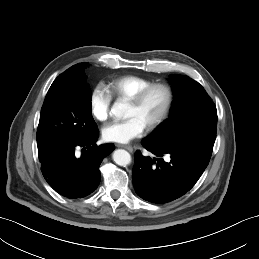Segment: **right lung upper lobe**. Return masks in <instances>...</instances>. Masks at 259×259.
<instances>
[{"label": "right lung upper lobe", "instance_id": "cb5924a9", "mask_svg": "<svg viewBox=\"0 0 259 259\" xmlns=\"http://www.w3.org/2000/svg\"><path fill=\"white\" fill-rule=\"evenodd\" d=\"M79 64H76L70 67L65 72L60 74L52 83L51 87L48 90L47 95L55 93L60 89H62L63 87H67L68 85L74 83L76 81V77H77L76 73H77Z\"/></svg>", "mask_w": 259, "mask_h": 259}]
</instances>
